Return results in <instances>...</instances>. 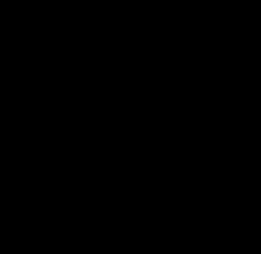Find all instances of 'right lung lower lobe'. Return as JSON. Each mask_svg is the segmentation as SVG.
Segmentation results:
<instances>
[{
    "instance_id": "right-lung-lower-lobe-1",
    "label": "right lung lower lobe",
    "mask_w": 261,
    "mask_h": 254,
    "mask_svg": "<svg viewBox=\"0 0 261 254\" xmlns=\"http://www.w3.org/2000/svg\"><path fill=\"white\" fill-rule=\"evenodd\" d=\"M88 147L85 136L71 130L45 143V156L58 185L89 199L101 193L105 174L101 166L88 160Z\"/></svg>"
}]
</instances>
